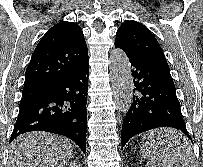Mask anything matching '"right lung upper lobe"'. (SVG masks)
I'll use <instances>...</instances> for the list:
<instances>
[{
    "mask_svg": "<svg viewBox=\"0 0 203 167\" xmlns=\"http://www.w3.org/2000/svg\"><path fill=\"white\" fill-rule=\"evenodd\" d=\"M82 29L62 21L50 28L35 48L25 74L23 98L49 91L88 60Z\"/></svg>",
    "mask_w": 203,
    "mask_h": 167,
    "instance_id": "obj_1",
    "label": "right lung upper lobe"
}]
</instances>
